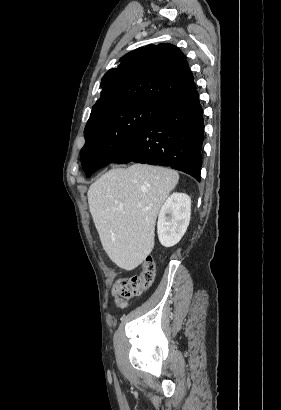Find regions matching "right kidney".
Returning a JSON list of instances; mask_svg holds the SVG:
<instances>
[{
    "mask_svg": "<svg viewBox=\"0 0 281 410\" xmlns=\"http://www.w3.org/2000/svg\"><path fill=\"white\" fill-rule=\"evenodd\" d=\"M191 199L184 193L171 194L163 204L157 222L160 243L165 247L177 244L190 222Z\"/></svg>",
    "mask_w": 281,
    "mask_h": 410,
    "instance_id": "ca27d5eb",
    "label": "right kidney"
}]
</instances>
